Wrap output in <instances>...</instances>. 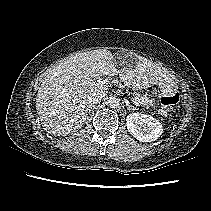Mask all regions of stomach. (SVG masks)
<instances>
[{
	"label": "stomach",
	"mask_w": 211,
	"mask_h": 211,
	"mask_svg": "<svg viewBox=\"0 0 211 211\" xmlns=\"http://www.w3.org/2000/svg\"><path fill=\"white\" fill-rule=\"evenodd\" d=\"M136 64H137V61L134 63V66H136ZM159 88H160V91L162 92V94L171 93L175 90V85L171 80L170 81H163V82H160ZM136 90H138V89H136Z\"/></svg>",
	"instance_id": "0dacf381"
}]
</instances>
